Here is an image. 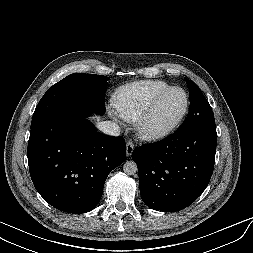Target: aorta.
<instances>
[{
  "instance_id": "1",
  "label": "aorta",
  "mask_w": 253,
  "mask_h": 253,
  "mask_svg": "<svg viewBox=\"0 0 253 253\" xmlns=\"http://www.w3.org/2000/svg\"><path fill=\"white\" fill-rule=\"evenodd\" d=\"M137 164L134 161H126L123 165V171L127 175H134L137 172Z\"/></svg>"
}]
</instances>
